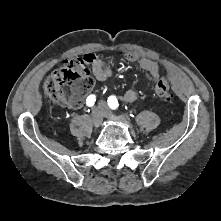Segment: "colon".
Segmentation results:
<instances>
[{
	"label": "colon",
	"mask_w": 221,
	"mask_h": 221,
	"mask_svg": "<svg viewBox=\"0 0 221 221\" xmlns=\"http://www.w3.org/2000/svg\"><path fill=\"white\" fill-rule=\"evenodd\" d=\"M87 64L88 61L84 57L64 60L62 67L45 79L44 92L55 101L64 102L74 107L80 106L94 85ZM155 92L160 98L171 99L170 84L165 77L157 82Z\"/></svg>",
	"instance_id": "obj_1"
}]
</instances>
